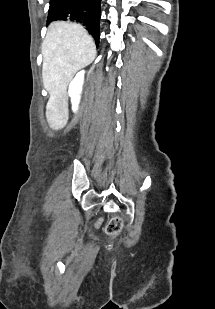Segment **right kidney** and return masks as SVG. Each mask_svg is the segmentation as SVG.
<instances>
[{"instance_id": "right-kidney-1", "label": "right kidney", "mask_w": 215, "mask_h": 309, "mask_svg": "<svg viewBox=\"0 0 215 309\" xmlns=\"http://www.w3.org/2000/svg\"><path fill=\"white\" fill-rule=\"evenodd\" d=\"M85 70H80L69 84L68 94L71 96L72 110H77L81 98Z\"/></svg>"}]
</instances>
